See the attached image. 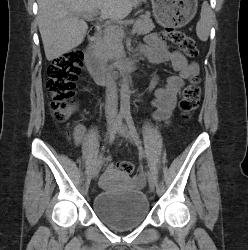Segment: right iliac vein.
I'll return each mask as SVG.
<instances>
[{
    "label": "right iliac vein",
    "mask_w": 248,
    "mask_h": 250,
    "mask_svg": "<svg viewBox=\"0 0 248 250\" xmlns=\"http://www.w3.org/2000/svg\"><path fill=\"white\" fill-rule=\"evenodd\" d=\"M113 126H114V119L108 118L107 119V136L110 135ZM101 165H102V158L98 159L96 164H95L94 171H93V179H96L98 177V174H99L100 169H101Z\"/></svg>",
    "instance_id": "63e3f726"
}]
</instances>
